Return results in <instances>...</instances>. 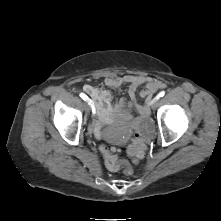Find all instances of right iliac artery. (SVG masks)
Listing matches in <instances>:
<instances>
[{"label":"right iliac artery","mask_w":221,"mask_h":221,"mask_svg":"<svg viewBox=\"0 0 221 221\" xmlns=\"http://www.w3.org/2000/svg\"><path fill=\"white\" fill-rule=\"evenodd\" d=\"M80 97L83 99V100H87L88 102H89V104H91V100L87 97V95H85L84 93H81L80 94ZM91 106H92V104H91ZM92 108H93V113H95V110H94V107L92 106Z\"/></svg>","instance_id":"82829eb1"}]
</instances>
